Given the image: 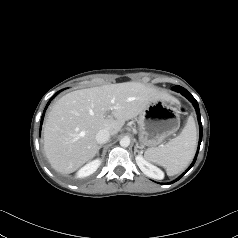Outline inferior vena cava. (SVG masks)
<instances>
[{
	"instance_id": "602c4592",
	"label": "inferior vena cava",
	"mask_w": 238,
	"mask_h": 238,
	"mask_svg": "<svg viewBox=\"0 0 238 238\" xmlns=\"http://www.w3.org/2000/svg\"><path fill=\"white\" fill-rule=\"evenodd\" d=\"M109 139H110V133L106 129H101L96 134V141L99 144H104V143L108 142Z\"/></svg>"
}]
</instances>
